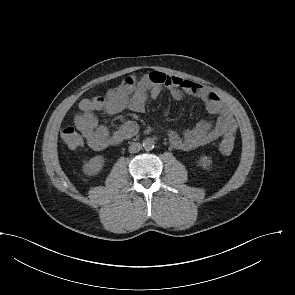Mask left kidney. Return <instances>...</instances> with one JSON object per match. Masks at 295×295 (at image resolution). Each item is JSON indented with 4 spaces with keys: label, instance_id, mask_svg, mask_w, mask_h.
I'll return each mask as SVG.
<instances>
[{
    "label": "left kidney",
    "instance_id": "5707ae66",
    "mask_svg": "<svg viewBox=\"0 0 295 295\" xmlns=\"http://www.w3.org/2000/svg\"><path fill=\"white\" fill-rule=\"evenodd\" d=\"M198 163L203 168L208 169L211 166V164H212V160L210 159V157L202 156V157H200Z\"/></svg>",
    "mask_w": 295,
    "mask_h": 295
}]
</instances>
